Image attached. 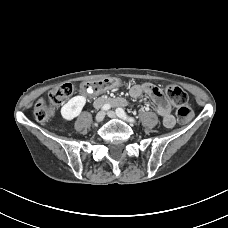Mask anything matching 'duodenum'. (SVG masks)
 I'll return each mask as SVG.
<instances>
[{
	"label": "duodenum",
	"instance_id": "duodenum-1",
	"mask_svg": "<svg viewBox=\"0 0 228 228\" xmlns=\"http://www.w3.org/2000/svg\"><path fill=\"white\" fill-rule=\"evenodd\" d=\"M104 102H110L113 106H116V107H122L127 104L124 98H112V99L98 98L95 103L96 105H100Z\"/></svg>",
	"mask_w": 228,
	"mask_h": 228
}]
</instances>
